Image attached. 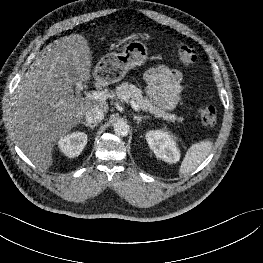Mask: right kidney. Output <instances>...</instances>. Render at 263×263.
Returning a JSON list of instances; mask_svg holds the SVG:
<instances>
[{"label":"right kidney","instance_id":"ca27d5eb","mask_svg":"<svg viewBox=\"0 0 263 263\" xmlns=\"http://www.w3.org/2000/svg\"><path fill=\"white\" fill-rule=\"evenodd\" d=\"M86 144L87 135L84 132H73L58 142L60 151L69 158L79 156Z\"/></svg>","mask_w":263,"mask_h":263}]
</instances>
